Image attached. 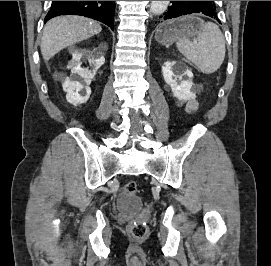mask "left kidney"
I'll return each instance as SVG.
<instances>
[{"instance_id":"1","label":"left kidney","mask_w":271,"mask_h":266,"mask_svg":"<svg viewBox=\"0 0 271 266\" xmlns=\"http://www.w3.org/2000/svg\"><path fill=\"white\" fill-rule=\"evenodd\" d=\"M165 82L170 85L173 95L182 101L194 99L191 91L193 73L177 62H165L162 66Z\"/></svg>"}]
</instances>
